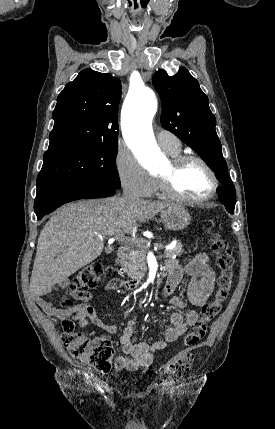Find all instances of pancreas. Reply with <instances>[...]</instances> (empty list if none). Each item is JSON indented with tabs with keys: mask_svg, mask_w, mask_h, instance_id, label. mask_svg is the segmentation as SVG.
Instances as JSON below:
<instances>
[{
	"mask_svg": "<svg viewBox=\"0 0 275 429\" xmlns=\"http://www.w3.org/2000/svg\"><path fill=\"white\" fill-rule=\"evenodd\" d=\"M149 249L147 241H140L136 248L133 249L126 260L121 262L122 266L125 267L124 272L131 278L137 279L144 276V272L147 270L146 255ZM183 246L181 242H178L172 249L164 251L166 258H172L173 256H180L183 253Z\"/></svg>",
	"mask_w": 275,
	"mask_h": 429,
	"instance_id": "1",
	"label": "pancreas"
}]
</instances>
